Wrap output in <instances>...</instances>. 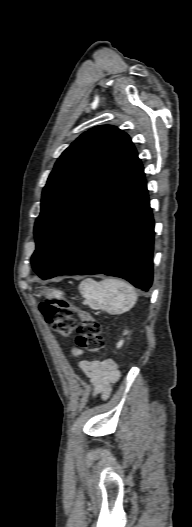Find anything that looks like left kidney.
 Segmentation results:
<instances>
[{"label":"left kidney","mask_w":192,"mask_h":527,"mask_svg":"<svg viewBox=\"0 0 192 527\" xmlns=\"http://www.w3.org/2000/svg\"><path fill=\"white\" fill-rule=\"evenodd\" d=\"M125 334H126V332H125ZM122 345H123V341L121 340V341H119V343L117 344V347L120 348Z\"/></svg>","instance_id":"1"}]
</instances>
